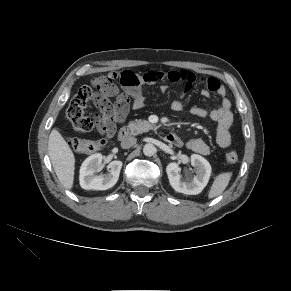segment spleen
<instances>
[{
    "instance_id": "3e777b00",
    "label": "spleen",
    "mask_w": 291,
    "mask_h": 291,
    "mask_svg": "<svg viewBox=\"0 0 291 291\" xmlns=\"http://www.w3.org/2000/svg\"><path fill=\"white\" fill-rule=\"evenodd\" d=\"M231 177V172H224L217 175L208 193V198L212 199L221 195L228 186Z\"/></svg>"
}]
</instances>
